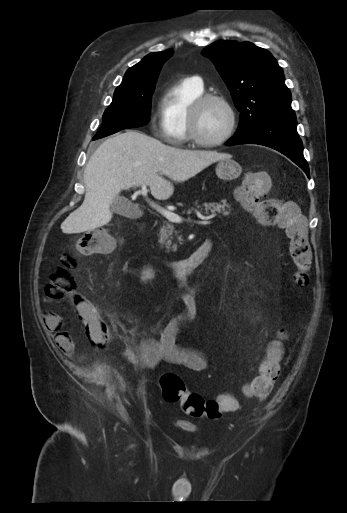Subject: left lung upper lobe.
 Segmentation results:
<instances>
[{"instance_id":"1","label":"left lung upper lobe","mask_w":347,"mask_h":513,"mask_svg":"<svg viewBox=\"0 0 347 513\" xmlns=\"http://www.w3.org/2000/svg\"><path fill=\"white\" fill-rule=\"evenodd\" d=\"M202 53L214 62L241 113L236 135L265 120L296 117L283 70L269 51L250 42L219 40Z\"/></svg>"}]
</instances>
